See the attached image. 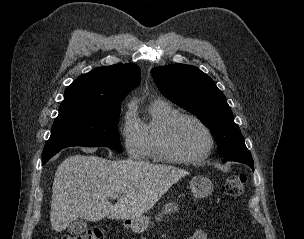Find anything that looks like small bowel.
Here are the masks:
<instances>
[{"label":"small bowel","mask_w":304,"mask_h":239,"mask_svg":"<svg viewBox=\"0 0 304 239\" xmlns=\"http://www.w3.org/2000/svg\"><path fill=\"white\" fill-rule=\"evenodd\" d=\"M188 239H207L204 231L196 230Z\"/></svg>","instance_id":"c3829d8e"}]
</instances>
